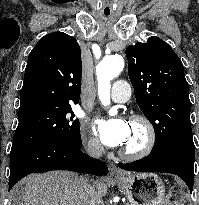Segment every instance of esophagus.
Masks as SVG:
<instances>
[{"label":"esophagus","mask_w":199,"mask_h":205,"mask_svg":"<svg viewBox=\"0 0 199 205\" xmlns=\"http://www.w3.org/2000/svg\"><path fill=\"white\" fill-rule=\"evenodd\" d=\"M109 171H110V175L112 177H120V176H122V172L113 163L109 164Z\"/></svg>","instance_id":"obj_1"}]
</instances>
